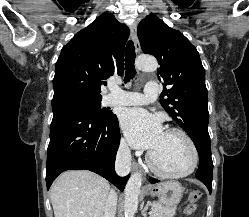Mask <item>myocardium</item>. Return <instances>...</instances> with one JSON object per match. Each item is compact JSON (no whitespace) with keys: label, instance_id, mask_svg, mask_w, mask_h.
I'll use <instances>...</instances> for the list:
<instances>
[{"label":"myocardium","instance_id":"f54148a6","mask_svg":"<svg viewBox=\"0 0 249 217\" xmlns=\"http://www.w3.org/2000/svg\"><path fill=\"white\" fill-rule=\"evenodd\" d=\"M165 132L166 133H177V134L181 135L185 139V141L187 142V144H188V146H189V148L191 150V154H192L191 164L185 171L177 172V173L168 172V171L160 169L156 165L155 161L153 160L152 153L150 151L147 154L148 166L150 167V169L155 174H157V175H159V176H161L163 178L178 179V178H184V177H187V176L191 175L195 171V169H196V167L198 165V161H199L198 150H197V147H196L193 139L191 138V136L186 131H184L181 128L170 127V128H167L165 130Z\"/></svg>","mask_w":249,"mask_h":217}]
</instances>
